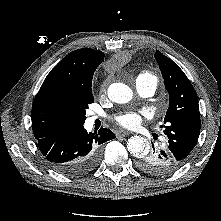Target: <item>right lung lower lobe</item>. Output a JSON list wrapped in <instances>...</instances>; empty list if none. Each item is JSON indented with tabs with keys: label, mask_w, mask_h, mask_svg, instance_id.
I'll return each instance as SVG.
<instances>
[{
	"label": "right lung lower lobe",
	"mask_w": 221,
	"mask_h": 221,
	"mask_svg": "<svg viewBox=\"0 0 221 221\" xmlns=\"http://www.w3.org/2000/svg\"><path fill=\"white\" fill-rule=\"evenodd\" d=\"M114 138L115 134L107 128L87 133L82 125L57 138L40 139L38 146L53 169L68 176H79L96 167L101 144Z\"/></svg>",
	"instance_id": "1"
}]
</instances>
